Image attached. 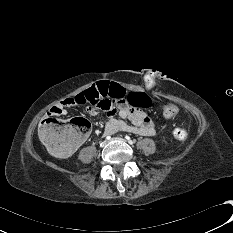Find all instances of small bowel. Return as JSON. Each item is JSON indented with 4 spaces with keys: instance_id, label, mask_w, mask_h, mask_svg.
I'll return each mask as SVG.
<instances>
[{
    "instance_id": "1",
    "label": "small bowel",
    "mask_w": 233,
    "mask_h": 233,
    "mask_svg": "<svg viewBox=\"0 0 233 233\" xmlns=\"http://www.w3.org/2000/svg\"><path fill=\"white\" fill-rule=\"evenodd\" d=\"M75 106L77 105L72 98H66L60 105L52 107L46 117L65 115L68 108ZM87 110L89 112L97 111L100 115L106 114L105 132L108 134L118 131L141 136H153L155 134V128L147 113L141 109L130 107L125 99L116 101L110 97H105L99 99L96 104L89 105ZM127 120L131 123L129 124Z\"/></svg>"
}]
</instances>
